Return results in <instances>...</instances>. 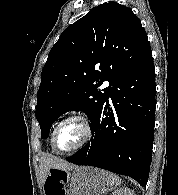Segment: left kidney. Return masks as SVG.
Listing matches in <instances>:
<instances>
[{"label":"left kidney","mask_w":178,"mask_h":195,"mask_svg":"<svg viewBox=\"0 0 178 195\" xmlns=\"http://www.w3.org/2000/svg\"><path fill=\"white\" fill-rule=\"evenodd\" d=\"M112 195H135L130 188H120L115 190Z\"/></svg>","instance_id":"5707ae66"}]
</instances>
